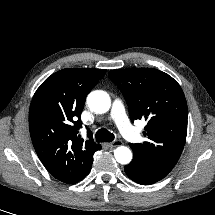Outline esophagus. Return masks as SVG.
<instances>
[{
	"instance_id": "1",
	"label": "esophagus",
	"mask_w": 215,
	"mask_h": 215,
	"mask_svg": "<svg viewBox=\"0 0 215 215\" xmlns=\"http://www.w3.org/2000/svg\"><path fill=\"white\" fill-rule=\"evenodd\" d=\"M121 145H122V141H120V140H115V141L107 144V146L109 148H115V147H118V146H121Z\"/></svg>"
}]
</instances>
